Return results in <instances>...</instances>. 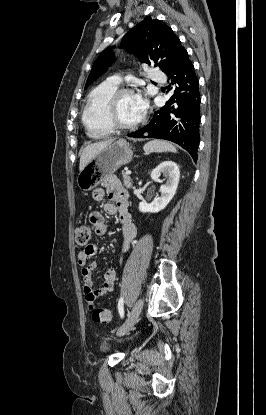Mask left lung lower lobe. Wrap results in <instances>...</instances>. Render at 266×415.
Returning a JSON list of instances; mask_svg holds the SVG:
<instances>
[{"mask_svg": "<svg viewBox=\"0 0 266 415\" xmlns=\"http://www.w3.org/2000/svg\"><path fill=\"white\" fill-rule=\"evenodd\" d=\"M173 85L174 94L144 128L128 134L129 137H148L172 141L197 161L200 142V92L194 66L188 57H183L177 68L167 75ZM171 87V85H169Z\"/></svg>", "mask_w": 266, "mask_h": 415, "instance_id": "0a47b994", "label": "left lung lower lobe"}]
</instances>
